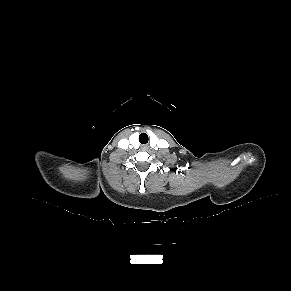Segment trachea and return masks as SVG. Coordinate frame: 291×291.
<instances>
[{
  "instance_id": "trachea-1",
  "label": "trachea",
  "mask_w": 291,
  "mask_h": 291,
  "mask_svg": "<svg viewBox=\"0 0 291 291\" xmlns=\"http://www.w3.org/2000/svg\"><path fill=\"white\" fill-rule=\"evenodd\" d=\"M139 141L141 144L147 143L148 142V135L146 133L140 134Z\"/></svg>"
}]
</instances>
